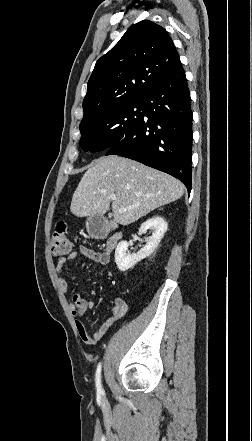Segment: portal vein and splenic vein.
<instances>
[{
    "label": "portal vein and splenic vein",
    "mask_w": 252,
    "mask_h": 441,
    "mask_svg": "<svg viewBox=\"0 0 252 441\" xmlns=\"http://www.w3.org/2000/svg\"><path fill=\"white\" fill-rule=\"evenodd\" d=\"M111 199H112V200H116V196H115V195H112V196H111ZM126 209H127V208L123 207V208H121L120 210H121V211H126Z\"/></svg>",
    "instance_id": "1"
}]
</instances>
